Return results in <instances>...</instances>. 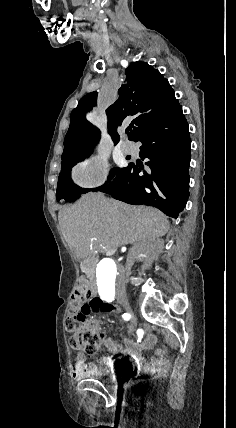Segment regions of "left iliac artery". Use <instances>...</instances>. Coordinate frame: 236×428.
<instances>
[{
	"label": "left iliac artery",
	"instance_id": "obj_1",
	"mask_svg": "<svg viewBox=\"0 0 236 428\" xmlns=\"http://www.w3.org/2000/svg\"><path fill=\"white\" fill-rule=\"evenodd\" d=\"M99 295L102 300L112 302L115 297V291H99Z\"/></svg>",
	"mask_w": 236,
	"mask_h": 428
}]
</instances>
